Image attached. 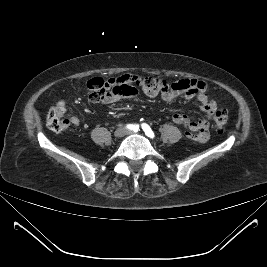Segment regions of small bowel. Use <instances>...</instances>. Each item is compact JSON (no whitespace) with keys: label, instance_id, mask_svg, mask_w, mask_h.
<instances>
[{"label":"small bowel","instance_id":"1","mask_svg":"<svg viewBox=\"0 0 267 267\" xmlns=\"http://www.w3.org/2000/svg\"><path fill=\"white\" fill-rule=\"evenodd\" d=\"M128 75L119 78H109L104 80L99 77L91 78L86 86L90 90L89 98L92 102H101L104 104H112L120 101L125 97H133L135 95H128L123 92L121 87V80ZM181 88L179 89H165L160 92L146 93L148 96H155L160 93V96L165 101H172L178 96H182L185 100L196 99L199 103L201 111L205 113V117L198 121L191 120L184 114H174L173 121L177 125L184 126L186 136L190 140L205 143L209 139V120L217 110V104L212 100L206 91L205 82L197 79L180 80ZM55 114L62 118L65 128L69 126H78L80 120L77 116L65 118L67 111L66 102L59 100L54 108Z\"/></svg>","mask_w":267,"mask_h":267}]
</instances>
